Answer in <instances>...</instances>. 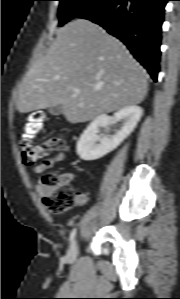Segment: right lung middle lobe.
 I'll return each instance as SVG.
<instances>
[{
    "label": "right lung middle lobe",
    "instance_id": "dd1d6c3e",
    "mask_svg": "<svg viewBox=\"0 0 180 299\" xmlns=\"http://www.w3.org/2000/svg\"><path fill=\"white\" fill-rule=\"evenodd\" d=\"M59 26L74 17H79L81 14L96 6L103 0H59Z\"/></svg>",
    "mask_w": 180,
    "mask_h": 299
}]
</instances>
